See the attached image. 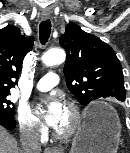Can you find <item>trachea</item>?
Instances as JSON below:
<instances>
[{
	"instance_id": "1",
	"label": "trachea",
	"mask_w": 130,
	"mask_h": 153,
	"mask_svg": "<svg viewBox=\"0 0 130 153\" xmlns=\"http://www.w3.org/2000/svg\"><path fill=\"white\" fill-rule=\"evenodd\" d=\"M50 33H51V22L50 20H45L42 21L39 25V36H40V42L42 44H45L49 37H50Z\"/></svg>"
}]
</instances>
